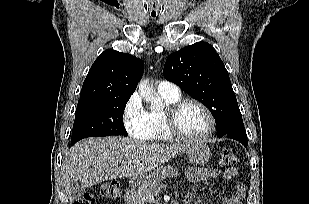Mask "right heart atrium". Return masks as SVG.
<instances>
[{"label":"right heart atrium","mask_w":309,"mask_h":204,"mask_svg":"<svg viewBox=\"0 0 309 204\" xmlns=\"http://www.w3.org/2000/svg\"><path fill=\"white\" fill-rule=\"evenodd\" d=\"M123 123L130 136L146 139L149 129L146 111L138 94H132L123 109Z\"/></svg>","instance_id":"right-heart-atrium-1"}]
</instances>
